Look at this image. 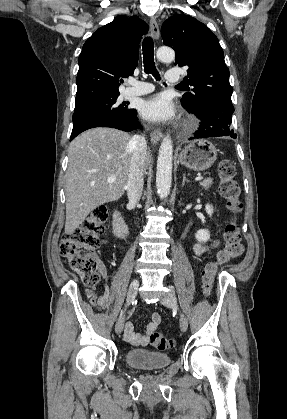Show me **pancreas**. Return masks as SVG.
I'll use <instances>...</instances> for the list:
<instances>
[{"instance_id": "pancreas-1", "label": "pancreas", "mask_w": 287, "mask_h": 419, "mask_svg": "<svg viewBox=\"0 0 287 419\" xmlns=\"http://www.w3.org/2000/svg\"><path fill=\"white\" fill-rule=\"evenodd\" d=\"M212 184H213L212 179H206V180H204L203 182L200 183L202 188L204 190H207V191L211 188Z\"/></svg>"}]
</instances>
